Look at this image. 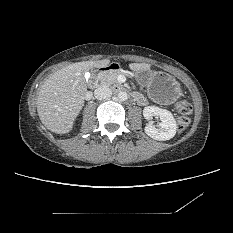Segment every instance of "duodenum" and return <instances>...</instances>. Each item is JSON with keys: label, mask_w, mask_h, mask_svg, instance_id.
I'll return each mask as SVG.
<instances>
[{"label": "duodenum", "mask_w": 233, "mask_h": 233, "mask_svg": "<svg viewBox=\"0 0 233 233\" xmlns=\"http://www.w3.org/2000/svg\"><path fill=\"white\" fill-rule=\"evenodd\" d=\"M119 65L113 63H107L96 69L95 76L89 80V86L91 88H96L100 79V76L107 74L110 71H118ZM133 97L136 99L138 95L133 94Z\"/></svg>", "instance_id": "obj_1"}]
</instances>
